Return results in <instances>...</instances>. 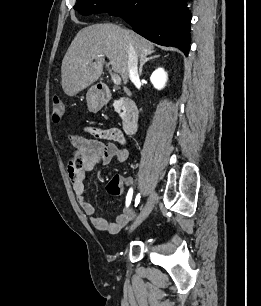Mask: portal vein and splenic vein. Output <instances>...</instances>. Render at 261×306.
<instances>
[{
	"mask_svg": "<svg viewBox=\"0 0 261 306\" xmlns=\"http://www.w3.org/2000/svg\"><path fill=\"white\" fill-rule=\"evenodd\" d=\"M106 66H107L108 69H109V65L106 64ZM109 72H110V74H111V79H112L113 83H114L115 85H120V84H121V77H120L119 75L115 74V73H112L110 69H109Z\"/></svg>",
	"mask_w": 261,
	"mask_h": 306,
	"instance_id": "18ae733b",
	"label": "portal vein and splenic vein"
}]
</instances>
